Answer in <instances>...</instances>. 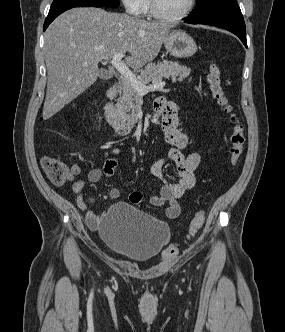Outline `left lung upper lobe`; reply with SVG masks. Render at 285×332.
Masks as SVG:
<instances>
[{"mask_svg": "<svg viewBox=\"0 0 285 332\" xmlns=\"http://www.w3.org/2000/svg\"><path fill=\"white\" fill-rule=\"evenodd\" d=\"M241 14L236 0H197L190 18L208 19L227 15Z\"/></svg>", "mask_w": 285, "mask_h": 332, "instance_id": "1", "label": "left lung upper lobe"}]
</instances>
